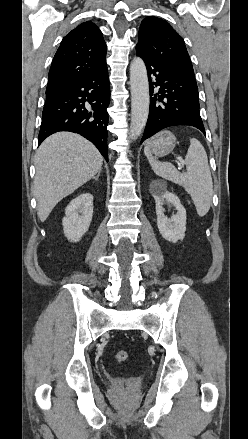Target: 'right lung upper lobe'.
I'll return each instance as SVG.
<instances>
[{
	"mask_svg": "<svg viewBox=\"0 0 248 439\" xmlns=\"http://www.w3.org/2000/svg\"><path fill=\"white\" fill-rule=\"evenodd\" d=\"M106 44L99 28L84 22L65 36L53 58L46 94L106 66Z\"/></svg>",
	"mask_w": 248,
	"mask_h": 439,
	"instance_id": "1",
	"label": "right lung upper lobe"
}]
</instances>
